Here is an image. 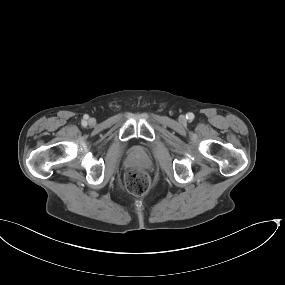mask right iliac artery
Masks as SVG:
<instances>
[{"mask_svg": "<svg viewBox=\"0 0 285 285\" xmlns=\"http://www.w3.org/2000/svg\"><path fill=\"white\" fill-rule=\"evenodd\" d=\"M84 119H88V115H85V116H84ZM82 124L85 125V124H86V121L84 120V121L82 122Z\"/></svg>", "mask_w": 285, "mask_h": 285, "instance_id": "right-iliac-artery-1", "label": "right iliac artery"}]
</instances>
